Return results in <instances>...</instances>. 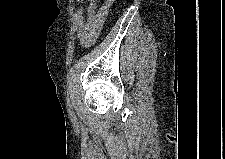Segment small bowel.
I'll return each instance as SVG.
<instances>
[{
  "label": "small bowel",
  "mask_w": 225,
  "mask_h": 159,
  "mask_svg": "<svg viewBox=\"0 0 225 159\" xmlns=\"http://www.w3.org/2000/svg\"><path fill=\"white\" fill-rule=\"evenodd\" d=\"M111 5L112 0H105L96 10L94 2H91L87 8L86 16L83 15L82 9L77 11V34L82 46L86 47L94 42L103 27Z\"/></svg>",
  "instance_id": "obj_1"
}]
</instances>
